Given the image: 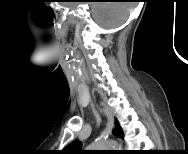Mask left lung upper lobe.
I'll use <instances>...</instances> for the list:
<instances>
[{"label":"left lung upper lobe","mask_w":188,"mask_h":154,"mask_svg":"<svg viewBox=\"0 0 188 154\" xmlns=\"http://www.w3.org/2000/svg\"><path fill=\"white\" fill-rule=\"evenodd\" d=\"M115 123H116V130L113 131V134L123 136L122 129L120 128L117 120H116ZM64 150L69 154H82V153H84V151L81 150V143L80 142L71 143Z\"/></svg>","instance_id":"1"}]
</instances>
